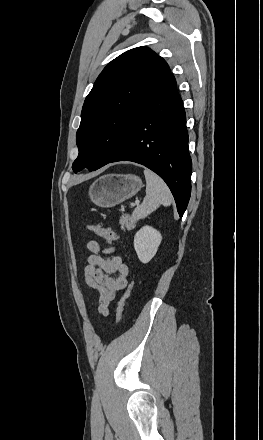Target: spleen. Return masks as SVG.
<instances>
[{
    "instance_id": "3e777b00",
    "label": "spleen",
    "mask_w": 263,
    "mask_h": 440,
    "mask_svg": "<svg viewBox=\"0 0 263 440\" xmlns=\"http://www.w3.org/2000/svg\"><path fill=\"white\" fill-rule=\"evenodd\" d=\"M144 175L146 179V196L143 203L133 211L132 217L134 220L144 219L160 205L167 207L173 201L168 186L157 174L145 169Z\"/></svg>"
}]
</instances>
